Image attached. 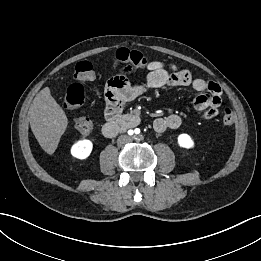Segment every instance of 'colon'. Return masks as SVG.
Returning <instances> with one entry per match:
<instances>
[{"label":"colon","instance_id":"5ec220e1","mask_svg":"<svg viewBox=\"0 0 261 261\" xmlns=\"http://www.w3.org/2000/svg\"><path fill=\"white\" fill-rule=\"evenodd\" d=\"M115 64L124 65L127 69L131 67H146L151 63V59L141 52L120 49L113 56ZM95 64L90 61L78 62L75 66L74 77L77 81H90L94 78ZM85 99L84 87L80 83L72 84L65 96L64 104L67 108L75 109L80 107ZM223 123L230 126L234 123L235 117L230 109H225L222 115ZM92 121L86 116H79L75 120L76 130L83 134H89L92 130Z\"/></svg>","mask_w":261,"mask_h":261}]
</instances>
